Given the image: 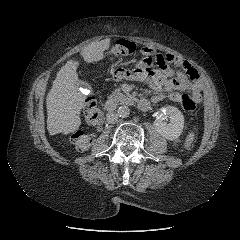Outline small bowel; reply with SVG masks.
<instances>
[{"label":"small bowel","instance_id":"obj_1","mask_svg":"<svg viewBox=\"0 0 240 240\" xmlns=\"http://www.w3.org/2000/svg\"><path fill=\"white\" fill-rule=\"evenodd\" d=\"M141 54L145 58L137 62L132 72L117 68L113 70L112 77L147 81L156 91L152 97L153 103L166 98L180 102V91L189 92L196 102H200L201 85L198 72L187 61L171 53L162 54L152 47L142 48Z\"/></svg>","mask_w":240,"mask_h":240}]
</instances>
